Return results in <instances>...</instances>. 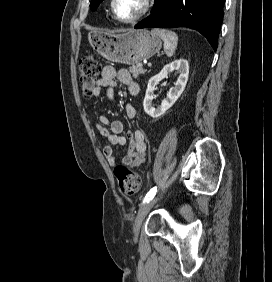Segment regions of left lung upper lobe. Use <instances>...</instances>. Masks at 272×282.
Masks as SVG:
<instances>
[{"mask_svg": "<svg viewBox=\"0 0 272 282\" xmlns=\"http://www.w3.org/2000/svg\"><path fill=\"white\" fill-rule=\"evenodd\" d=\"M103 0H91L90 3V8L92 11L96 10L97 7L99 6V4L102 2Z\"/></svg>", "mask_w": 272, "mask_h": 282, "instance_id": "5c2ea615", "label": "left lung upper lobe"}]
</instances>
